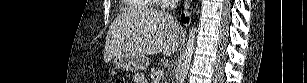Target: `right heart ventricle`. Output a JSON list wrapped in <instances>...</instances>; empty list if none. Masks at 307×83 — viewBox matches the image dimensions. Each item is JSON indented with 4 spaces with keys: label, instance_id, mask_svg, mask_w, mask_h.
Segmentation results:
<instances>
[{
    "label": "right heart ventricle",
    "instance_id": "right-heart-ventricle-1",
    "mask_svg": "<svg viewBox=\"0 0 307 83\" xmlns=\"http://www.w3.org/2000/svg\"><path fill=\"white\" fill-rule=\"evenodd\" d=\"M153 7L152 1L129 0V10H146Z\"/></svg>",
    "mask_w": 307,
    "mask_h": 83
}]
</instances>
